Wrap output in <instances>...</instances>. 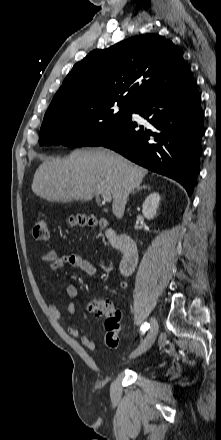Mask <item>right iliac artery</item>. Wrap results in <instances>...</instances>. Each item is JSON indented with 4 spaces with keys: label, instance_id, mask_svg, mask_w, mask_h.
I'll use <instances>...</instances> for the list:
<instances>
[{
    "label": "right iliac artery",
    "instance_id": "obj_1",
    "mask_svg": "<svg viewBox=\"0 0 221 440\" xmlns=\"http://www.w3.org/2000/svg\"><path fill=\"white\" fill-rule=\"evenodd\" d=\"M149 327H150L149 323H144V324L141 326V331H142V333H145V332L149 329Z\"/></svg>",
    "mask_w": 221,
    "mask_h": 440
}]
</instances>
